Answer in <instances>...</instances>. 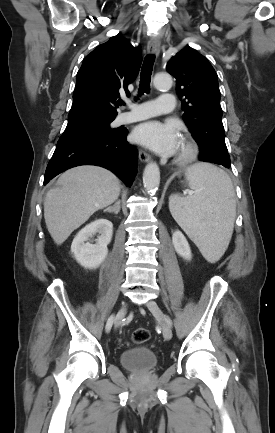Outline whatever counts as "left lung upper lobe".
Listing matches in <instances>:
<instances>
[{"label": "left lung upper lobe", "mask_w": 275, "mask_h": 433, "mask_svg": "<svg viewBox=\"0 0 275 433\" xmlns=\"http://www.w3.org/2000/svg\"><path fill=\"white\" fill-rule=\"evenodd\" d=\"M167 71L176 78L177 94L184 97L183 118L199 146L200 160L219 165L230 163L214 68L203 55L186 47L172 57Z\"/></svg>", "instance_id": "left-lung-upper-lobe-1"}]
</instances>
